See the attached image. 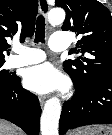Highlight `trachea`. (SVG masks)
Returning a JSON list of instances; mask_svg holds the SVG:
<instances>
[{
	"instance_id": "3493384b",
	"label": "trachea",
	"mask_w": 112,
	"mask_h": 135,
	"mask_svg": "<svg viewBox=\"0 0 112 135\" xmlns=\"http://www.w3.org/2000/svg\"><path fill=\"white\" fill-rule=\"evenodd\" d=\"M43 9L44 6L42 5ZM45 41V19L42 15H39L36 21V31H35V43Z\"/></svg>"
}]
</instances>
